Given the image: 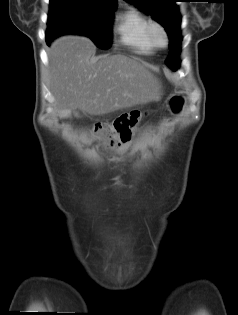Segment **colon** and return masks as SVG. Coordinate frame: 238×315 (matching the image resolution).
I'll return each instance as SVG.
<instances>
[{
  "instance_id": "5ec220e1",
  "label": "colon",
  "mask_w": 238,
  "mask_h": 315,
  "mask_svg": "<svg viewBox=\"0 0 238 315\" xmlns=\"http://www.w3.org/2000/svg\"><path fill=\"white\" fill-rule=\"evenodd\" d=\"M143 113L140 111H131L122 114L109 123H98L94 132L102 137L104 143L108 146H116L127 143L137 131Z\"/></svg>"
}]
</instances>
